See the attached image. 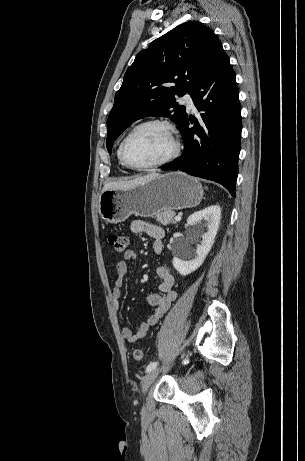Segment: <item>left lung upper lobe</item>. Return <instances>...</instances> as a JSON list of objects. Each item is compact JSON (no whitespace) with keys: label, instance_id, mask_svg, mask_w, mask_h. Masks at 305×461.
<instances>
[{"label":"left lung upper lobe","instance_id":"obj_1","mask_svg":"<svg viewBox=\"0 0 305 461\" xmlns=\"http://www.w3.org/2000/svg\"><path fill=\"white\" fill-rule=\"evenodd\" d=\"M222 49L210 28L190 21L139 52L124 75L107 120L108 152L114 140L138 119L163 116L180 126L187 113L184 106L176 103L175 96L191 93Z\"/></svg>","mask_w":305,"mask_h":461}]
</instances>
